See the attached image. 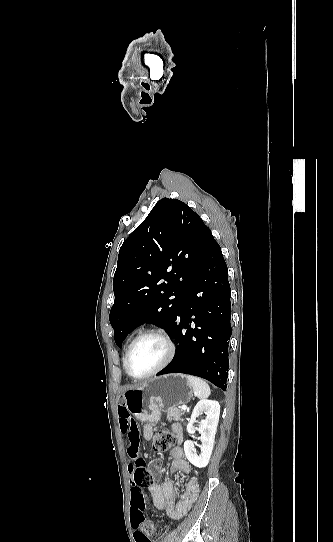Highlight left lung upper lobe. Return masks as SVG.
<instances>
[{
  "label": "left lung upper lobe",
  "instance_id": "left-lung-upper-lobe-1",
  "mask_svg": "<svg viewBox=\"0 0 333 542\" xmlns=\"http://www.w3.org/2000/svg\"><path fill=\"white\" fill-rule=\"evenodd\" d=\"M213 239L210 229L184 202L169 198L157 202L119 250L115 302L109 315L118 347L145 322L172 332L185 292Z\"/></svg>",
  "mask_w": 333,
  "mask_h": 542
}]
</instances>
